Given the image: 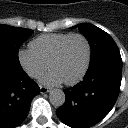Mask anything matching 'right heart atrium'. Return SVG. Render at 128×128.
<instances>
[{"mask_svg": "<svg viewBox=\"0 0 128 128\" xmlns=\"http://www.w3.org/2000/svg\"><path fill=\"white\" fill-rule=\"evenodd\" d=\"M21 68L31 78H38L48 68L44 62L31 48L20 49L17 54Z\"/></svg>", "mask_w": 128, "mask_h": 128, "instance_id": "obj_1", "label": "right heart atrium"}]
</instances>
